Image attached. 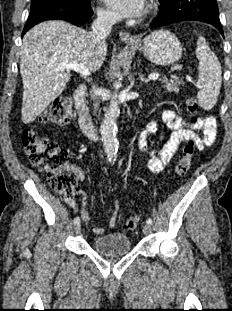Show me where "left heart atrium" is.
Here are the masks:
<instances>
[{"label":"left heart atrium","mask_w":232,"mask_h":311,"mask_svg":"<svg viewBox=\"0 0 232 311\" xmlns=\"http://www.w3.org/2000/svg\"><path fill=\"white\" fill-rule=\"evenodd\" d=\"M104 2L123 17L139 16L145 6V0H104Z\"/></svg>","instance_id":"1"}]
</instances>
